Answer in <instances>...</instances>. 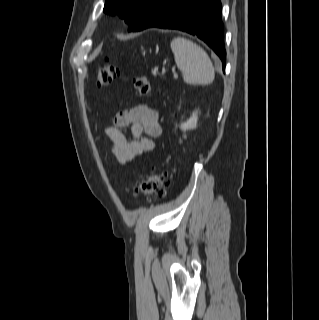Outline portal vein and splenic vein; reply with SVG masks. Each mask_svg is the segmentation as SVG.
<instances>
[{
  "label": "portal vein and splenic vein",
  "instance_id": "1",
  "mask_svg": "<svg viewBox=\"0 0 319 320\" xmlns=\"http://www.w3.org/2000/svg\"><path fill=\"white\" fill-rule=\"evenodd\" d=\"M173 76H174L175 78L178 77V75H177L176 73H175Z\"/></svg>",
  "mask_w": 319,
  "mask_h": 320
}]
</instances>
